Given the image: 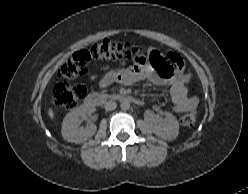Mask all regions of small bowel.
<instances>
[{
  "instance_id": "small-bowel-1",
  "label": "small bowel",
  "mask_w": 248,
  "mask_h": 194,
  "mask_svg": "<svg viewBox=\"0 0 248 194\" xmlns=\"http://www.w3.org/2000/svg\"><path fill=\"white\" fill-rule=\"evenodd\" d=\"M160 59L162 63L156 65L149 56H142L136 59V64L132 67L113 69L101 79L100 87L105 88L115 81L130 85L148 80L154 85L168 88L176 112L183 113L195 109L198 98L189 94L187 83L191 74L186 70L183 60L175 54H169L167 59Z\"/></svg>"
}]
</instances>
